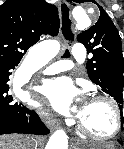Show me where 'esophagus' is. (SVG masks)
<instances>
[{
	"label": "esophagus",
	"instance_id": "esophagus-1",
	"mask_svg": "<svg viewBox=\"0 0 124 149\" xmlns=\"http://www.w3.org/2000/svg\"><path fill=\"white\" fill-rule=\"evenodd\" d=\"M60 14V36L62 37L65 47L70 48L75 40V31L73 27V21L71 17V8L67 1L62 0L59 3ZM52 129L56 127L53 120L49 121Z\"/></svg>",
	"mask_w": 124,
	"mask_h": 149
}]
</instances>
